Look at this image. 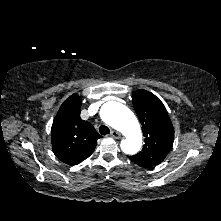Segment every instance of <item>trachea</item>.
<instances>
[{"mask_svg": "<svg viewBox=\"0 0 221 221\" xmlns=\"http://www.w3.org/2000/svg\"><path fill=\"white\" fill-rule=\"evenodd\" d=\"M99 132L102 134V135H107L110 133V129L105 126V125H102L99 127Z\"/></svg>", "mask_w": 221, "mask_h": 221, "instance_id": "obj_1", "label": "trachea"}]
</instances>
